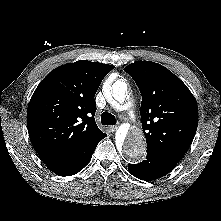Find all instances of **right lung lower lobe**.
Masks as SVG:
<instances>
[{
  "label": "right lung lower lobe",
  "instance_id": "right-lung-lower-lobe-1",
  "mask_svg": "<svg viewBox=\"0 0 221 221\" xmlns=\"http://www.w3.org/2000/svg\"><path fill=\"white\" fill-rule=\"evenodd\" d=\"M105 137L106 135L96 138L68 155L46 164V166L59 176L74 175L89 163L97 144Z\"/></svg>",
  "mask_w": 221,
  "mask_h": 221
}]
</instances>
